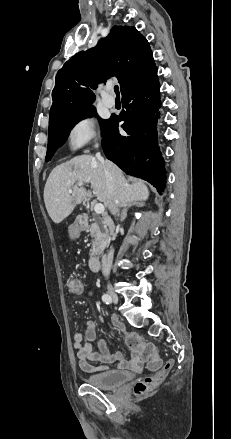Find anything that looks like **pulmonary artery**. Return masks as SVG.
Returning a JSON list of instances; mask_svg holds the SVG:
<instances>
[{
	"instance_id": "e3ab8cb5",
	"label": "pulmonary artery",
	"mask_w": 231,
	"mask_h": 439,
	"mask_svg": "<svg viewBox=\"0 0 231 439\" xmlns=\"http://www.w3.org/2000/svg\"><path fill=\"white\" fill-rule=\"evenodd\" d=\"M109 90L107 92H105L102 96V102L103 104L108 107V108H112L115 105V101L114 99L108 94Z\"/></svg>"
}]
</instances>
